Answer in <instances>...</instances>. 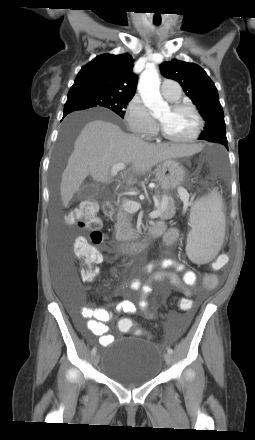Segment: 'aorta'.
I'll use <instances>...</instances> for the list:
<instances>
[{
  "label": "aorta",
  "instance_id": "obj_1",
  "mask_svg": "<svg viewBox=\"0 0 255 440\" xmlns=\"http://www.w3.org/2000/svg\"><path fill=\"white\" fill-rule=\"evenodd\" d=\"M160 78L155 66L147 67L140 75L138 91L144 105L150 109L154 115H160L169 109L168 104L160 94Z\"/></svg>",
  "mask_w": 255,
  "mask_h": 440
}]
</instances>
